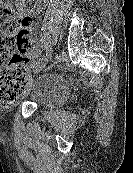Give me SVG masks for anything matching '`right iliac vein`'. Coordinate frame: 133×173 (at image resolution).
<instances>
[{
  "instance_id": "63e3f726",
  "label": "right iliac vein",
  "mask_w": 133,
  "mask_h": 173,
  "mask_svg": "<svg viewBox=\"0 0 133 173\" xmlns=\"http://www.w3.org/2000/svg\"><path fill=\"white\" fill-rule=\"evenodd\" d=\"M51 58V54L47 57H45L43 60L39 61L34 67L33 72L35 74L39 73L48 63L49 59Z\"/></svg>"
}]
</instances>
